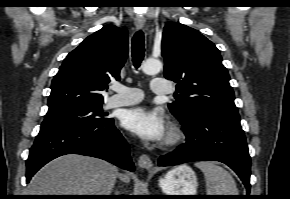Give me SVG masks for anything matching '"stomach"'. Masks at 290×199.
Wrapping results in <instances>:
<instances>
[{
    "label": "stomach",
    "instance_id": "stomach-1",
    "mask_svg": "<svg viewBox=\"0 0 290 199\" xmlns=\"http://www.w3.org/2000/svg\"><path fill=\"white\" fill-rule=\"evenodd\" d=\"M197 185L196 174L187 165L169 171L160 180V187L166 195H195Z\"/></svg>",
    "mask_w": 290,
    "mask_h": 199
}]
</instances>
